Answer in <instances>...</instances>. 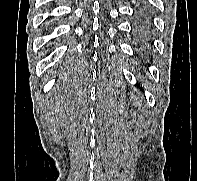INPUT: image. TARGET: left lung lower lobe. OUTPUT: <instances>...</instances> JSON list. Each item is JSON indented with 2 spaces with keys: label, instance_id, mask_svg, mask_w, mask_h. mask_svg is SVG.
Instances as JSON below:
<instances>
[{
  "label": "left lung lower lobe",
  "instance_id": "left-lung-lower-lobe-1",
  "mask_svg": "<svg viewBox=\"0 0 197 181\" xmlns=\"http://www.w3.org/2000/svg\"><path fill=\"white\" fill-rule=\"evenodd\" d=\"M139 3L136 12L135 23V38L137 43L142 48H147L148 32L150 26L149 12L146 10L145 0H136Z\"/></svg>",
  "mask_w": 197,
  "mask_h": 181
}]
</instances>
